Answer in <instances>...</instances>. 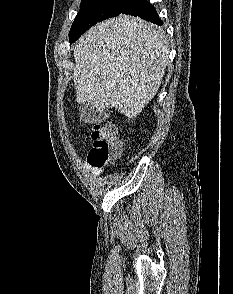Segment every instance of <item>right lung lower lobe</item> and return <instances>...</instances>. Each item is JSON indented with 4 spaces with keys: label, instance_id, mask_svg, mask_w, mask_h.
Returning a JSON list of instances; mask_svg holds the SVG:
<instances>
[{
    "label": "right lung lower lobe",
    "instance_id": "1",
    "mask_svg": "<svg viewBox=\"0 0 233 294\" xmlns=\"http://www.w3.org/2000/svg\"><path fill=\"white\" fill-rule=\"evenodd\" d=\"M121 13L129 14L132 16H139L140 18L157 25L163 24L158 16V13L156 12L155 7L148 3L147 0H130ZM78 38L79 37L70 39L69 42L73 43Z\"/></svg>",
    "mask_w": 233,
    "mask_h": 294
}]
</instances>
